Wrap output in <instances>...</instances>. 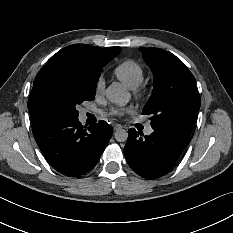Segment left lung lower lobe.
Listing matches in <instances>:
<instances>
[{
  "label": "left lung lower lobe",
  "mask_w": 233,
  "mask_h": 233,
  "mask_svg": "<svg viewBox=\"0 0 233 233\" xmlns=\"http://www.w3.org/2000/svg\"><path fill=\"white\" fill-rule=\"evenodd\" d=\"M128 135L124 147L126 160L132 170L146 179L165 175L190 142V135L176 132L154 130L143 136L131 128Z\"/></svg>",
  "instance_id": "0a47b994"
}]
</instances>
